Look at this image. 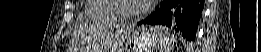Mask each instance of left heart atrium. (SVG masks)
Instances as JSON below:
<instances>
[{"label": "left heart atrium", "instance_id": "left-heart-atrium-1", "mask_svg": "<svg viewBox=\"0 0 261 52\" xmlns=\"http://www.w3.org/2000/svg\"><path fill=\"white\" fill-rule=\"evenodd\" d=\"M139 2H141L142 4H152L154 3L155 1L154 0H139Z\"/></svg>", "mask_w": 261, "mask_h": 52}]
</instances>
